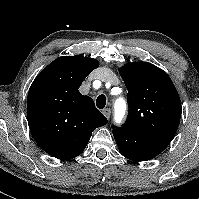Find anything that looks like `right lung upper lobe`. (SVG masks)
Masks as SVG:
<instances>
[{"mask_svg":"<svg viewBox=\"0 0 199 199\" xmlns=\"http://www.w3.org/2000/svg\"><path fill=\"white\" fill-rule=\"evenodd\" d=\"M95 59L59 57L33 81L27 98V119L36 143L49 155L69 160L85 149L92 132L107 124L89 96L79 92L97 67Z\"/></svg>","mask_w":199,"mask_h":199,"instance_id":"cb5924a9","label":"right lung upper lobe"}]
</instances>
